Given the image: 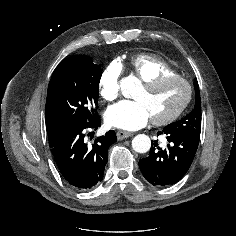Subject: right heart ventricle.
I'll return each mask as SVG.
<instances>
[{"mask_svg":"<svg viewBox=\"0 0 236 236\" xmlns=\"http://www.w3.org/2000/svg\"><path fill=\"white\" fill-rule=\"evenodd\" d=\"M132 73L143 83L164 74H176L167 62L151 54H141L131 61Z\"/></svg>","mask_w":236,"mask_h":236,"instance_id":"obj_1","label":"right heart ventricle"}]
</instances>
